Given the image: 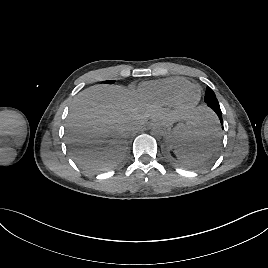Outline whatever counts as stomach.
Masks as SVG:
<instances>
[{
	"label": "stomach",
	"mask_w": 268,
	"mask_h": 268,
	"mask_svg": "<svg viewBox=\"0 0 268 268\" xmlns=\"http://www.w3.org/2000/svg\"><path fill=\"white\" fill-rule=\"evenodd\" d=\"M192 125L177 121L174 125L168 126L167 134L172 141L174 149L188 147V139L191 135Z\"/></svg>",
	"instance_id": "0dacf381"
}]
</instances>
